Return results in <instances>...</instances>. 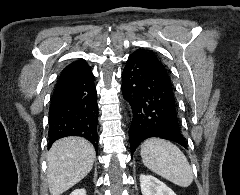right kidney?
<instances>
[{
  "label": "right kidney",
  "instance_id": "obj_1",
  "mask_svg": "<svg viewBox=\"0 0 240 195\" xmlns=\"http://www.w3.org/2000/svg\"><path fill=\"white\" fill-rule=\"evenodd\" d=\"M70 195H86V189H74Z\"/></svg>",
  "mask_w": 240,
  "mask_h": 195
}]
</instances>
